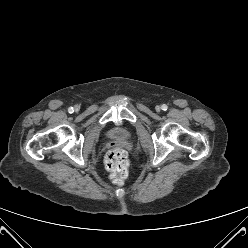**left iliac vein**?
<instances>
[{"label":"left iliac vein","mask_w":248,"mask_h":248,"mask_svg":"<svg viewBox=\"0 0 248 248\" xmlns=\"http://www.w3.org/2000/svg\"><path fill=\"white\" fill-rule=\"evenodd\" d=\"M161 110V107L160 106H156V111H160Z\"/></svg>","instance_id":"4c4485c4"}]
</instances>
